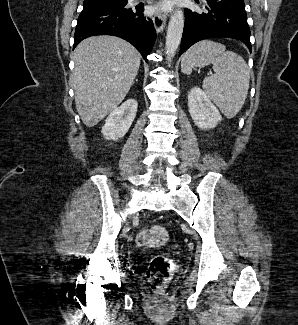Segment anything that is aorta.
<instances>
[{
	"label": "aorta",
	"mask_w": 298,
	"mask_h": 325,
	"mask_svg": "<svg viewBox=\"0 0 298 325\" xmlns=\"http://www.w3.org/2000/svg\"><path fill=\"white\" fill-rule=\"evenodd\" d=\"M184 22V10H182V8H175L173 14H171L169 18L165 36V54L167 62H171L173 56L176 54V50L179 48V44H181Z\"/></svg>",
	"instance_id": "762f6f07"
}]
</instances>
